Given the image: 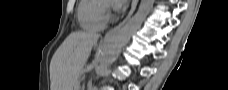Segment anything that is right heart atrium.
Segmentation results:
<instances>
[{
  "label": "right heart atrium",
  "mask_w": 228,
  "mask_h": 90,
  "mask_svg": "<svg viewBox=\"0 0 228 90\" xmlns=\"http://www.w3.org/2000/svg\"><path fill=\"white\" fill-rule=\"evenodd\" d=\"M103 15H104V18L107 19L108 18V9H107V6L105 5L104 8H103Z\"/></svg>",
  "instance_id": "right-heart-atrium-1"
}]
</instances>
